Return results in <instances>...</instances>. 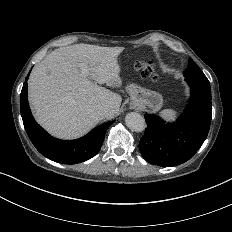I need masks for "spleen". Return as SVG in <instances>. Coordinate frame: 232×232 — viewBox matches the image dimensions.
Here are the masks:
<instances>
[{
	"label": "spleen",
	"instance_id": "spleen-1",
	"mask_svg": "<svg viewBox=\"0 0 232 232\" xmlns=\"http://www.w3.org/2000/svg\"><path fill=\"white\" fill-rule=\"evenodd\" d=\"M163 114L170 117L172 115V112L170 110H164Z\"/></svg>",
	"mask_w": 232,
	"mask_h": 232
}]
</instances>
